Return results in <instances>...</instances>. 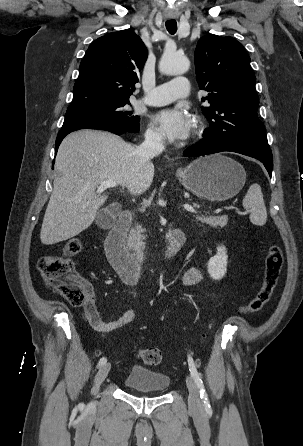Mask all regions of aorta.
I'll list each match as a JSON object with an SVG mask.
<instances>
[{
	"label": "aorta",
	"instance_id": "aorta-1",
	"mask_svg": "<svg viewBox=\"0 0 303 446\" xmlns=\"http://www.w3.org/2000/svg\"><path fill=\"white\" fill-rule=\"evenodd\" d=\"M189 65L186 57L164 52L159 63V70L166 75H179L186 73Z\"/></svg>",
	"mask_w": 303,
	"mask_h": 446
}]
</instances>
